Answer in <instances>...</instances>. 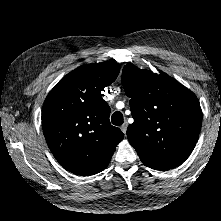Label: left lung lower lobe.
Instances as JSON below:
<instances>
[{
  "label": "left lung lower lobe",
  "mask_w": 221,
  "mask_h": 221,
  "mask_svg": "<svg viewBox=\"0 0 221 221\" xmlns=\"http://www.w3.org/2000/svg\"><path fill=\"white\" fill-rule=\"evenodd\" d=\"M144 165H146L150 168L156 169V170H160V171H167V170L171 169V168H168L164 165H160L157 163H144Z\"/></svg>",
  "instance_id": "0a47b994"
}]
</instances>
